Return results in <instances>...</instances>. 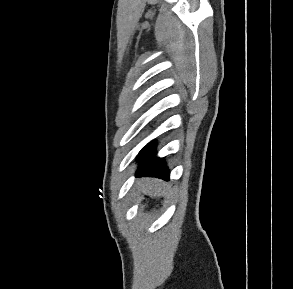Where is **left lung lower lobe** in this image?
Instances as JSON below:
<instances>
[{
	"instance_id": "0a47b994",
	"label": "left lung lower lobe",
	"mask_w": 293,
	"mask_h": 289,
	"mask_svg": "<svg viewBox=\"0 0 293 289\" xmlns=\"http://www.w3.org/2000/svg\"><path fill=\"white\" fill-rule=\"evenodd\" d=\"M155 146L156 143L152 141L139 153L138 158L142 160V163L137 171V175L169 180V170L166 167L165 161L155 157Z\"/></svg>"
}]
</instances>
